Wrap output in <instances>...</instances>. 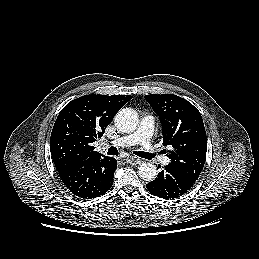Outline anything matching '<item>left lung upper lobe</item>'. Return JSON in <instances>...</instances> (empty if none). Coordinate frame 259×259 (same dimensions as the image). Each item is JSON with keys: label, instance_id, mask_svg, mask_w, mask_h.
Masks as SVG:
<instances>
[{"label": "left lung upper lobe", "instance_id": "1", "mask_svg": "<svg viewBox=\"0 0 259 259\" xmlns=\"http://www.w3.org/2000/svg\"><path fill=\"white\" fill-rule=\"evenodd\" d=\"M146 101L162 124L163 145L172 146L169 165L195 182L206 160L207 137L198 109L174 94H151Z\"/></svg>", "mask_w": 259, "mask_h": 259}]
</instances>
